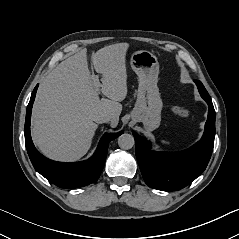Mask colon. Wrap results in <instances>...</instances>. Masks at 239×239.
<instances>
[{
	"mask_svg": "<svg viewBox=\"0 0 239 239\" xmlns=\"http://www.w3.org/2000/svg\"><path fill=\"white\" fill-rule=\"evenodd\" d=\"M173 112L179 116V117H187L188 115V111L186 109H184L183 107H179V106H176L173 108Z\"/></svg>",
	"mask_w": 239,
	"mask_h": 239,
	"instance_id": "5ec220e1",
	"label": "colon"
}]
</instances>
